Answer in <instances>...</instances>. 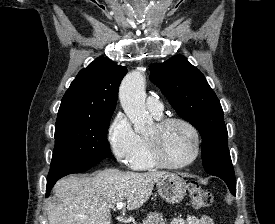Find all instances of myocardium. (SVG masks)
Returning a JSON list of instances; mask_svg holds the SVG:
<instances>
[{
    "instance_id": "f54148a6",
    "label": "myocardium",
    "mask_w": 275,
    "mask_h": 224,
    "mask_svg": "<svg viewBox=\"0 0 275 224\" xmlns=\"http://www.w3.org/2000/svg\"><path fill=\"white\" fill-rule=\"evenodd\" d=\"M171 123H181L186 126L192 133L194 138L193 156L186 162L174 164L169 162L163 154L158 134ZM156 133L154 135H146L148 150L152 161L159 167L167 169H183L192 165L199 157L201 151V139L198 129L189 120L179 116L162 117L155 123Z\"/></svg>"
}]
</instances>
